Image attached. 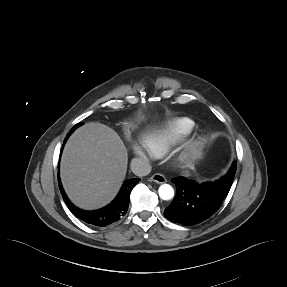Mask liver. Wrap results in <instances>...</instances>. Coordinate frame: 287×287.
Wrapping results in <instances>:
<instances>
[{
	"instance_id": "6515ba94",
	"label": "liver",
	"mask_w": 287,
	"mask_h": 287,
	"mask_svg": "<svg viewBox=\"0 0 287 287\" xmlns=\"http://www.w3.org/2000/svg\"><path fill=\"white\" fill-rule=\"evenodd\" d=\"M127 160L126 147L113 129L84 124L70 136L61 157L60 177L68 197L83 209L108 204L122 185Z\"/></svg>"
}]
</instances>
